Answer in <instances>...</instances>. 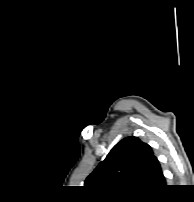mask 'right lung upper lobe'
Masks as SVG:
<instances>
[{"label":"right lung upper lobe","mask_w":194,"mask_h":202,"mask_svg":"<svg viewBox=\"0 0 194 202\" xmlns=\"http://www.w3.org/2000/svg\"><path fill=\"white\" fill-rule=\"evenodd\" d=\"M84 185L105 196H145L164 188L166 180L151 147L131 136L113 147Z\"/></svg>","instance_id":"right-lung-upper-lobe-1"}]
</instances>
